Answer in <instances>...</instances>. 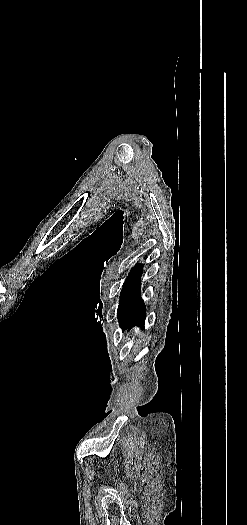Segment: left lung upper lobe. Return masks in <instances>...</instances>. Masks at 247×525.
<instances>
[{
  "label": "left lung upper lobe",
  "mask_w": 247,
  "mask_h": 525,
  "mask_svg": "<svg viewBox=\"0 0 247 525\" xmlns=\"http://www.w3.org/2000/svg\"><path fill=\"white\" fill-rule=\"evenodd\" d=\"M142 268L143 266L141 264H136L133 270H131L130 274L125 280L120 297L141 277L143 272Z\"/></svg>",
  "instance_id": "obj_1"
}]
</instances>
